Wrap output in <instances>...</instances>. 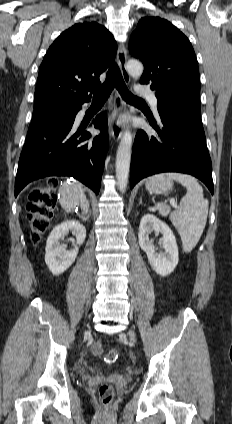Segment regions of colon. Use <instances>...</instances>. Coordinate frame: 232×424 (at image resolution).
<instances>
[{
    "label": "colon",
    "instance_id": "5ec220e1",
    "mask_svg": "<svg viewBox=\"0 0 232 424\" xmlns=\"http://www.w3.org/2000/svg\"><path fill=\"white\" fill-rule=\"evenodd\" d=\"M55 203L56 192L53 188H36L29 193L26 210L34 244L40 241L41 235L49 228L54 214ZM118 355L117 350L109 351L105 357L106 362L108 364L114 363ZM98 394L101 402L107 405L114 397V388L110 384H102L99 387Z\"/></svg>",
    "mask_w": 232,
    "mask_h": 424
}]
</instances>
